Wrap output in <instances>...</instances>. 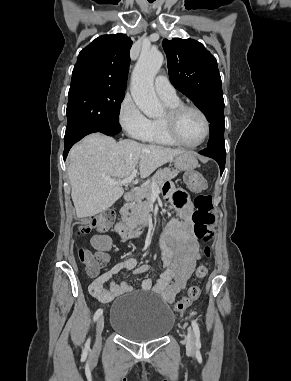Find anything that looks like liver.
Instances as JSON below:
<instances>
[{"label":"liver","mask_w":291,"mask_h":381,"mask_svg":"<svg viewBox=\"0 0 291 381\" xmlns=\"http://www.w3.org/2000/svg\"><path fill=\"white\" fill-rule=\"evenodd\" d=\"M185 152L131 139L116 142L100 133L86 136L69 152L68 176L77 217L99 214L121 198L122 186L110 185L106 179L127 178L137 167L141 178H146Z\"/></svg>","instance_id":"6515ba94"}]
</instances>
